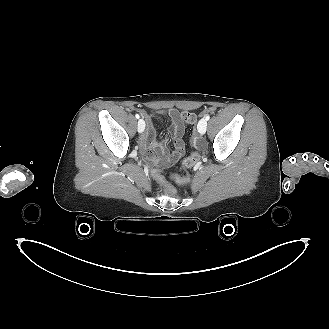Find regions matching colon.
<instances>
[{
    "instance_id": "obj_1",
    "label": "colon",
    "mask_w": 329,
    "mask_h": 329,
    "mask_svg": "<svg viewBox=\"0 0 329 329\" xmlns=\"http://www.w3.org/2000/svg\"><path fill=\"white\" fill-rule=\"evenodd\" d=\"M181 119L187 124H193L197 120V115L192 111H183L181 113ZM199 154L197 151L193 150L190 155L181 163V174L172 175L169 171L164 169H155L152 172L153 178L159 181L163 186L164 190L162 193L163 198L171 199L173 201L178 200L179 195L173 190V185L170 182V177L178 184H186L189 181L188 169L191 168L198 160Z\"/></svg>"
}]
</instances>
